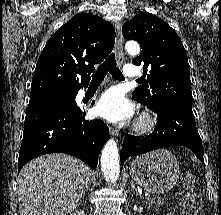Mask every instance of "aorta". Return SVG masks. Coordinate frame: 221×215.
<instances>
[{
	"mask_svg": "<svg viewBox=\"0 0 221 215\" xmlns=\"http://www.w3.org/2000/svg\"><path fill=\"white\" fill-rule=\"evenodd\" d=\"M125 50L130 55H138L140 46L136 42H128ZM101 170L105 179L110 183H115L119 177L120 163L118 146L114 139H110L105 144L101 155Z\"/></svg>",
	"mask_w": 221,
	"mask_h": 215,
	"instance_id": "obj_1",
	"label": "aorta"
}]
</instances>
